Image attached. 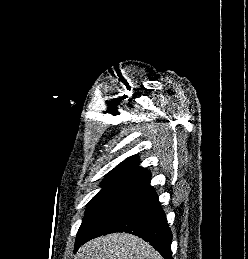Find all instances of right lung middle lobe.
Returning <instances> with one entry per match:
<instances>
[{
  "instance_id": "right-lung-middle-lobe-1",
  "label": "right lung middle lobe",
  "mask_w": 248,
  "mask_h": 259,
  "mask_svg": "<svg viewBox=\"0 0 248 259\" xmlns=\"http://www.w3.org/2000/svg\"><path fill=\"white\" fill-rule=\"evenodd\" d=\"M131 187V185L120 183L103 184L100 192L87 205L86 214L78 230L75 243L84 238Z\"/></svg>"
}]
</instances>
